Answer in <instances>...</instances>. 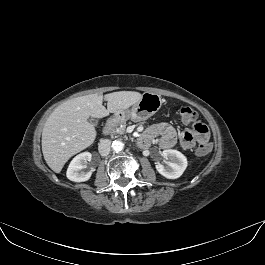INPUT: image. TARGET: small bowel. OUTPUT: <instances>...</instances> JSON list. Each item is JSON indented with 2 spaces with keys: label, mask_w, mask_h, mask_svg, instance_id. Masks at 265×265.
I'll use <instances>...</instances> for the list:
<instances>
[{
  "label": "small bowel",
  "mask_w": 265,
  "mask_h": 265,
  "mask_svg": "<svg viewBox=\"0 0 265 265\" xmlns=\"http://www.w3.org/2000/svg\"><path fill=\"white\" fill-rule=\"evenodd\" d=\"M186 123H190L191 127L184 130L179 136L171 125L167 123L155 124L146 130L140 142L143 146H148L153 139L158 137L162 148H171L179 139L181 146L186 149L192 148L196 142L200 144L207 143L209 131L204 123L200 121Z\"/></svg>",
  "instance_id": "1"
}]
</instances>
